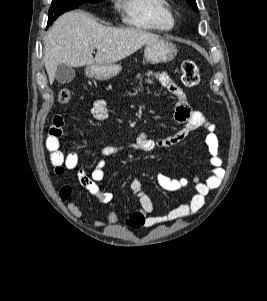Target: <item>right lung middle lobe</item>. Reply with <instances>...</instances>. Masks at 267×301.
I'll return each instance as SVG.
<instances>
[{
    "mask_svg": "<svg viewBox=\"0 0 267 301\" xmlns=\"http://www.w3.org/2000/svg\"><path fill=\"white\" fill-rule=\"evenodd\" d=\"M101 0H52L48 14V26L64 12L76 9L80 4L95 3Z\"/></svg>",
    "mask_w": 267,
    "mask_h": 301,
    "instance_id": "1",
    "label": "right lung middle lobe"
}]
</instances>
